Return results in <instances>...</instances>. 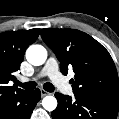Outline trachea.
<instances>
[{
  "instance_id": "1",
  "label": "trachea",
  "mask_w": 119,
  "mask_h": 119,
  "mask_svg": "<svg viewBox=\"0 0 119 119\" xmlns=\"http://www.w3.org/2000/svg\"><path fill=\"white\" fill-rule=\"evenodd\" d=\"M15 83L18 86H20V87H22L26 90H33L36 87V83L33 82V81H30V82H27V83H22V82L16 80ZM43 88L48 92H53L54 91V86L50 82L45 83L43 85Z\"/></svg>"
}]
</instances>
